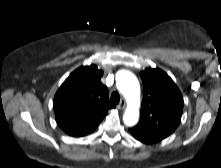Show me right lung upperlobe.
Returning <instances> with one entry per match:
<instances>
[{"mask_svg":"<svg viewBox=\"0 0 221 168\" xmlns=\"http://www.w3.org/2000/svg\"><path fill=\"white\" fill-rule=\"evenodd\" d=\"M103 72L96 65L72 72L55 94L53 108L60 128L68 135L91 133L115 105L109 102L108 89L101 83Z\"/></svg>","mask_w":221,"mask_h":168,"instance_id":"cb5924a9","label":"right lung upper lobe"}]
</instances>
